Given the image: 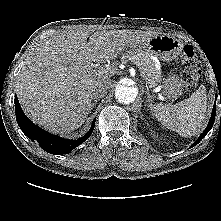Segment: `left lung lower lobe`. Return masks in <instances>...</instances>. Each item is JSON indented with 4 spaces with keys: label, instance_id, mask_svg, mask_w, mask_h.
<instances>
[{
    "label": "left lung lower lobe",
    "instance_id": "obj_1",
    "mask_svg": "<svg viewBox=\"0 0 221 221\" xmlns=\"http://www.w3.org/2000/svg\"><path fill=\"white\" fill-rule=\"evenodd\" d=\"M220 97H221V94H220ZM220 103H221V101H220ZM215 114H216V104H214V106H213L212 115H211L210 121H209L206 129L203 131V133L200 135V137L197 139V141L190 146V148L197 145L206 136V134L211 130V128L214 124Z\"/></svg>",
    "mask_w": 221,
    "mask_h": 221
}]
</instances>
